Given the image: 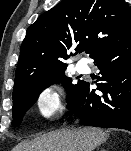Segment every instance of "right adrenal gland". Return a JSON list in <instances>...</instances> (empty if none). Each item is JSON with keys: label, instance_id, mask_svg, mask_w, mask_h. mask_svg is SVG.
<instances>
[{"label": "right adrenal gland", "instance_id": "1", "mask_svg": "<svg viewBox=\"0 0 131 151\" xmlns=\"http://www.w3.org/2000/svg\"><path fill=\"white\" fill-rule=\"evenodd\" d=\"M97 150H99V149H97ZM100 151H106L105 149H101Z\"/></svg>", "mask_w": 131, "mask_h": 151}]
</instances>
